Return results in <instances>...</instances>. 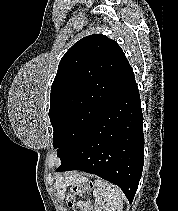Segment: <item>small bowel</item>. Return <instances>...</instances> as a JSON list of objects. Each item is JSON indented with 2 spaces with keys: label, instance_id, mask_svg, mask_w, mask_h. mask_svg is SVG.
<instances>
[{
  "label": "small bowel",
  "instance_id": "small-bowel-1",
  "mask_svg": "<svg viewBox=\"0 0 178 211\" xmlns=\"http://www.w3.org/2000/svg\"><path fill=\"white\" fill-rule=\"evenodd\" d=\"M90 210H91V207L86 208V209H83V210H81V211H90Z\"/></svg>",
  "mask_w": 178,
  "mask_h": 211
}]
</instances>
